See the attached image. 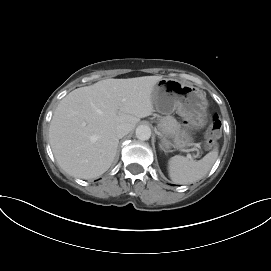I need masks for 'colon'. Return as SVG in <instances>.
Segmentation results:
<instances>
[{
    "label": "colon",
    "instance_id": "obj_1",
    "mask_svg": "<svg viewBox=\"0 0 271 271\" xmlns=\"http://www.w3.org/2000/svg\"><path fill=\"white\" fill-rule=\"evenodd\" d=\"M220 123L218 118L213 115L210 118V128L205 136V146L211 148L216 144V141L219 137Z\"/></svg>",
    "mask_w": 271,
    "mask_h": 271
}]
</instances>
